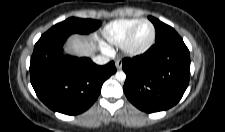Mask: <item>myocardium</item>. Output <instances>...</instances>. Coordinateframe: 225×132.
<instances>
[{"instance_id":"obj_1","label":"myocardium","mask_w":225,"mask_h":132,"mask_svg":"<svg viewBox=\"0 0 225 132\" xmlns=\"http://www.w3.org/2000/svg\"><path fill=\"white\" fill-rule=\"evenodd\" d=\"M141 23H148L151 26V35L149 37V39L144 42L141 45H135L133 43V37L134 34L138 28V26ZM155 27L152 24V22L148 19H139L127 32L126 36L124 37L122 43H121V48L122 50L131 56H136V55H140L142 53H144L145 51H147L150 46L153 44L154 40H155Z\"/></svg>"}]
</instances>
